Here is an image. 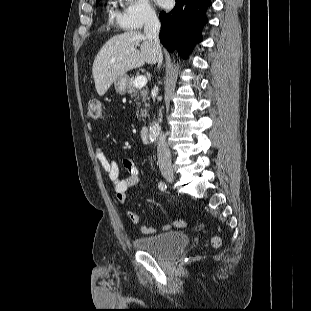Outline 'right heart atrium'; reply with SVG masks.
Wrapping results in <instances>:
<instances>
[{"mask_svg":"<svg viewBox=\"0 0 311 311\" xmlns=\"http://www.w3.org/2000/svg\"><path fill=\"white\" fill-rule=\"evenodd\" d=\"M120 1L122 9L115 14V20L124 30L137 31L157 19L156 11L148 0Z\"/></svg>","mask_w":311,"mask_h":311,"instance_id":"1","label":"right heart atrium"}]
</instances>
